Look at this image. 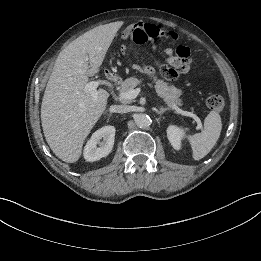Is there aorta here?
Instances as JSON below:
<instances>
[{"label":"aorta","instance_id":"762f6f07","mask_svg":"<svg viewBox=\"0 0 261 261\" xmlns=\"http://www.w3.org/2000/svg\"><path fill=\"white\" fill-rule=\"evenodd\" d=\"M150 117L147 114L140 113L135 117V123L140 128H145L150 125Z\"/></svg>","mask_w":261,"mask_h":261}]
</instances>
